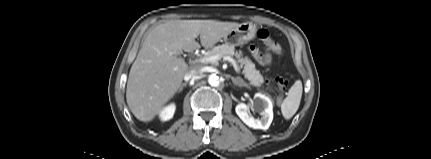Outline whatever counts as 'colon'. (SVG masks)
I'll return each mask as SVG.
<instances>
[{
  "instance_id": "5ec220e1",
  "label": "colon",
  "mask_w": 431,
  "mask_h": 159,
  "mask_svg": "<svg viewBox=\"0 0 431 159\" xmlns=\"http://www.w3.org/2000/svg\"><path fill=\"white\" fill-rule=\"evenodd\" d=\"M258 37L263 41V43L268 47H273L275 45V42L273 39H271L269 37V33L267 30H259L258 32ZM274 84L276 86L277 89V93H276V98L277 99H282L283 94L285 92L286 86H287V82L286 80L281 77V76H277L274 79Z\"/></svg>"
}]
</instances>
